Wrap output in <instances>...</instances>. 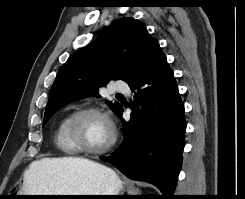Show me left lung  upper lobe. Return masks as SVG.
<instances>
[{
  "instance_id": "5c2ea615",
  "label": "left lung upper lobe",
  "mask_w": 245,
  "mask_h": 199,
  "mask_svg": "<svg viewBox=\"0 0 245 199\" xmlns=\"http://www.w3.org/2000/svg\"><path fill=\"white\" fill-rule=\"evenodd\" d=\"M158 41L134 18H121L107 27L89 46L69 57L59 69L50 91L43 126L63 106L96 96L110 80L130 84L140 77L153 56L160 51ZM119 114L122 106L107 101Z\"/></svg>"
}]
</instances>
